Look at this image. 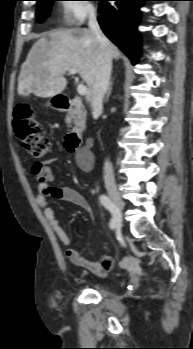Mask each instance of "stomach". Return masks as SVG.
<instances>
[{
	"mask_svg": "<svg viewBox=\"0 0 193 349\" xmlns=\"http://www.w3.org/2000/svg\"><path fill=\"white\" fill-rule=\"evenodd\" d=\"M47 105H48V106H51V103H50V102H48V103H47Z\"/></svg>",
	"mask_w": 193,
	"mask_h": 349,
	"instance_id": "0dacf381",
	"label": "stomach"
}]
</instances>
